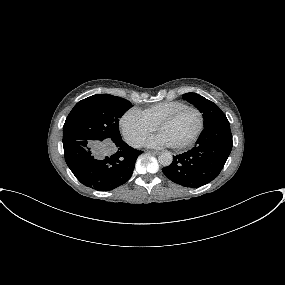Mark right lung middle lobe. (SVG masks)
<instances>
[{
    "label": "right lung middle lobe",
    "mask_w": 285,
    "mask_h": 285,
    "mask_svg": "<svg viewBox=\"0 0 285 285\" xmlns=\"http://www.w3.org/2000/svg\"><path fill=\"white\" fill-rule=\"evenodd\" d=\"M133 105L126 99L97 94L78 102L63 126V144L72 140L109 142L121 139L119 119Z\"/></svg>",
    "instance_id": "1"
}]
</instances>
